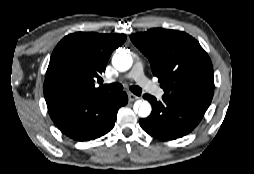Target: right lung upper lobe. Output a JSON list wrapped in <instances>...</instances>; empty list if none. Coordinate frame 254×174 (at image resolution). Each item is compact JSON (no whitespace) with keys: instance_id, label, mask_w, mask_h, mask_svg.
<instances>
[{"instance_id":"cb5924a9","label":"right lung upper lobe","mask_w":254,"mask_h":174,"mask_svg":"<svg viewBox=\"0 0 254 174\" xmlns=\"http://www.w3.org/2000/svg\"><path fill=\"white\" fill-rule=\"evenodd\" d=\"M126 40L125 34L77 32L55 47L44 82L47 107L74 94H110L96 80L105 71L112 51Z\"/></svg>"}]
</instances>
